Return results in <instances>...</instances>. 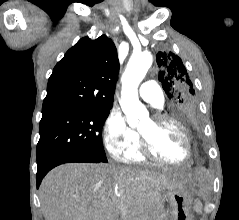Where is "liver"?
<instances>
[{
    "instance_id": "1",
    "label": "liver",
    "mask_w": 239,
    "mask_h": 220,
    "mask_svg": "<svg viewBox=\"0 0 239 220\" xmlns=\"http://www.w3.org/2000/svg\"><path fill=\"white\" fill-rule=\"evenodd\" d=\"M182 176L114 164L69 163L43 179L45 220H155L161 192L186 184Z\"/></svg>"
}]
</instances>
